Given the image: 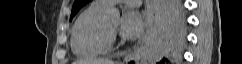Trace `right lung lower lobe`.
I'll list each match as a JSON object with an SVG mask.
<instances>
[{
  "label": "right lung lower lobe",
  "instance_id": "1",
  "mask_svg": "<svg viewBox=\"0 0 242 64\" xmlns=\"http://www.w3.org/2000/svg\"><path fill=\"white\" fill-rule=\"evenodd\" d=\"M178 15H179V11L177 13H175V11L172 12V16L175 18L174 19V25H173L174 29L180 28V21L177 18ZM163 62H164V59L160 63H163ZM131 64H134V62H131Z\"/></svg>",
  "mask_w": 242,
  "mask_h": 64
}]
</instances>
